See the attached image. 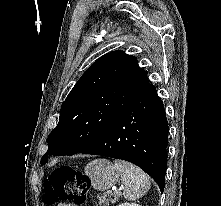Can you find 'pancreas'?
<instances>
[{
	"instance_id": "pancreas-1",
	"label": "pancreas",
	"mask_w": 221,
	"mask_h": 206,
	"mask_svg": "<svg viewBox=\"0 0 221 206\" xmlns=\"http://www.w3.org/2000/svg\"><path fill=\"white\" fill-rule=\"evenodd\" d=\"M114 198H111L110 194H103L99 197V205L100 206H109V203H115L120 197L119 193H114Z\"/></svg>"
}]
</instances>
